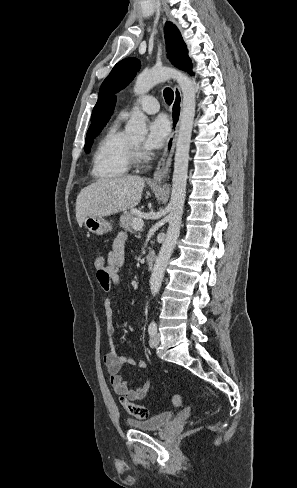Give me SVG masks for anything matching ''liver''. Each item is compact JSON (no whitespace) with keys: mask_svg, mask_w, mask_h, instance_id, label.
<instances>
[{"mask_svg":"<svg viewBox=\"0 0 297 488\" xmlns=\"http://www.w3.org/2000/svg\"><path fill=\"white\" fill-rule=\"evenodd\" d=\"M144 186L140 176H123L101 179L83 188L76 200L79 226L88 216L104 217L133 209L140 203Z\"/></svg>","mask_w":297,"mask_h":488,"instance_id":"liver-1","label":"liver"}]
</instances>
